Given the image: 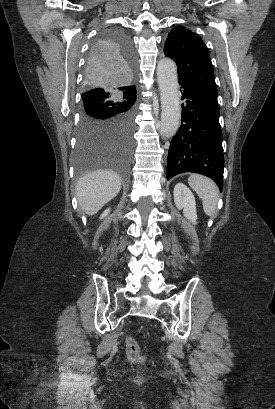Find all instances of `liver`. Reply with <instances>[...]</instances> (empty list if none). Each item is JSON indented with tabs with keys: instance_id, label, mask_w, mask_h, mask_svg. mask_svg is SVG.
<instances>
[{
	"instance_id": "6515ba94",
	"label": "liver",
	"mask_w": 275,
	"mask_h": 409,
	"mask_svg": "<svg viewBox=\"0 0 275 409\" xmlns=\"http://www.w3.org/2000/svg\"><path fill=\"white\" fill-rule=\"evenodd\" d=\"M121 188V178L114 170H93L81 176L76 184L80 209L86 215H96L106 202L114 198Z\"/></svg>"
}]
</instances>
